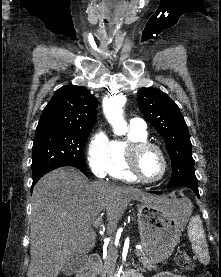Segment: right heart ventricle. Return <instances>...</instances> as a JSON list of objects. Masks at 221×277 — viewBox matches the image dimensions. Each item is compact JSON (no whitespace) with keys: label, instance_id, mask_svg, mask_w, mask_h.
<instances>
[{"label":"right heart ventricle","instance_id":"right-heart-ventricle-1","mask_svg":"<svg viewBox=\"0 0 221 277\" xmlns=\"http://www.w3.org/2000/svg\"><path fill=\"white\" fill-rule=\"evenodd\" d=\"M147 140L148 136L146 131L130 128L126 139L110 141L106 174L116 180L136 182L137 179L130 173L127 166V150L131 143Z\"/></svg>","mask_w":221,"mask_h":277}]
</instances>
